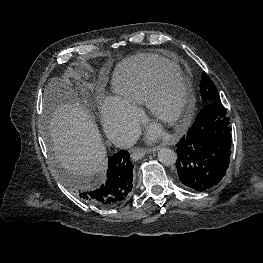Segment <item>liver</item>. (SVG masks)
<instances>
[{"instance_id": "6515ba94", "label": "liver", "mask_w": 263, "mask_h": 263, "mask_svg": "<svg viewBox=\"0 0 263 263\" xmlns=\"http://www.w3.org/2000/svg\"><path fill=\"white\" fill-rule=\"evenodd\" d=\"M51 104L49 134L56 159L78 178L103 171L106 147L86 107L68 81H52L46 88Z\"/></svg>"}]
</instances>
